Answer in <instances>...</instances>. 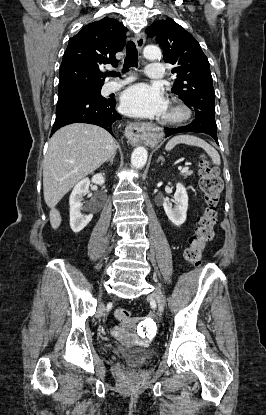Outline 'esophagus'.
<instances>
[{"label": "esophagus", "instance_id": "1", "mask_svg": "<svg viewBox=\"0 0 266 415\" xmlns=\"http://www.w3.org/2000/svg\"><path fill=\"white\" fill-rule=\"evenodd\" d=\"M135 43L138 51L141 52L145 44L144 32H141L137 35L135 38ZM125 134L129 142L133 145H136L143 141L145 138L144 125L141 123H130L125 129Z\"/></svg>", "mask_w": 266, "mask_h": 415}]
</instances>
